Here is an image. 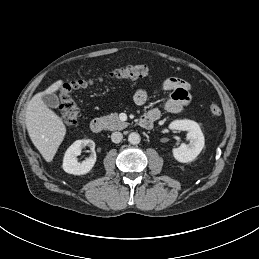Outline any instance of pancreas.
Masks as SVG:
<instances>
[{
	"label": "pancreas",
	"mask_w": 259,
	"mask_h": 259,
	"mask_svg": "<svg viewBox=\"0 0 259 259\" xmlns=\"http://www.w3.org/2000/svg\"><path fill=\"white\" fill-rule=\"evenodd\" d=\"M102 119L105 122L106 128L110 131L122 130L129 125V123L121 121L117 113H111L102 117Z\"/></svg>",
	"instance_id": "obj_1"
}]
</instances>
